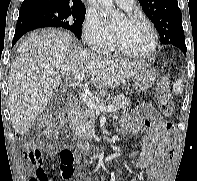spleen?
Wrapping results in <instances>:
<instances>
[{"label":"spleen","instance_id":"1","mask_svg":"<svg viewBox=\"0 0 197 181\" xmlns=\"http://www.w3.org/2000/svg\"><path fill=\"white\" fill-rule=\"evenodd\" d=\"M183 80L182 79H177V81L175 83H173V92L178 95V94H182L183 92Z\"/></svg>","mask_w":197,"mask_h":181}]
</instances>
